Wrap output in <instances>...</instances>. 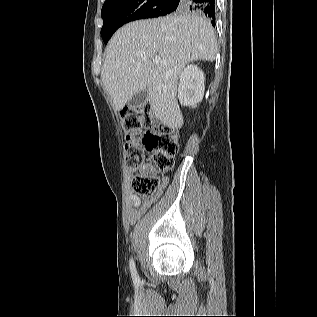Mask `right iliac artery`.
Wrapping results in <instances>:
<instances>
[{
	"instance_id": "right-iliac-artery-1",
	"label": "right iliac artery",
	"mask_w": 317,
	"mask_h": 317,
	"mask_svg": "<svg viewBox=\"0 0 317 317\" xmlns=\"http://www.w3.org/2000/svg\"><path fill=\"white\" fill-rule=\"evenodd\" d=\"M129 266H130V271H131V276H132L133 282L135 284H137L139 282V276L137 274V270H136L133 258L130 259V265Z\"/></svg>"
}]
</instances>
